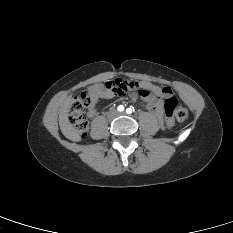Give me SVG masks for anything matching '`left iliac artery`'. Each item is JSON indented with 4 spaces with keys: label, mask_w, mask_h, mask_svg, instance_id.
<instances>
[{
    "label": "left iliac artery",
    "mask_w": 233,
    "mask_h": 233,
    "mask_svg": "<svg viewBox=\"0 0 233 233\" xmlns=\"http://www.w3.org/2000/svg\"><path fill=\"white\" fill-rule=\"evenodd\" d=\"M126 113H127V114H131V113H132V109H131V108H127V109H126Z\"/></svg>",
    "instance_id": "1"
}]
</instances>
